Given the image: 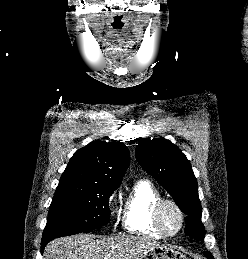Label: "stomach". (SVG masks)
Masks as SVG:
<instances>
[{
  "mask_svg": "<svg viewBox=\"0 0 248 259\" xmlns=\"http://www.w3.org/2000/svg\"><path fill=\"white\" fill-rule=\"evenodd\" d=\"M141 259H188L179 251L166 246L156 247L147 252Z\"/></svg>",
  "mask_w": 248,
  "mask_h": 259,
  "instance_id": "0dacf381",
  "label": "stomach"
}]
</instances>
